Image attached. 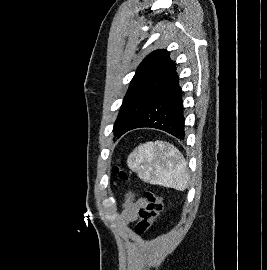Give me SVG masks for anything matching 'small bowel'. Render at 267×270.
Segmentation results:
<instances>
[{"label": "small bowel", "instance_id": "1", "mask_svg": "<svg viewBox=\"0 0 267 270\" xmlns=\"http://www.w3.org/2000/svg\"><path fill=\"white\" fill-rule=\"evenodd\" d=\"M145 204L146 201L144 199H134L132 195H129L122 215L124 222L128 224L136 221L140 210Z\"/></svg>", "mask_w": 267, "mask_h": 270}]
</instances>
